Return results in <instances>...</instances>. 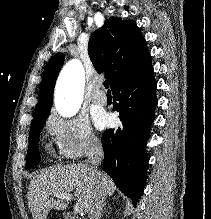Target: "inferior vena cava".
I'll return each instance as SVG.
<instances>
[{
    "label": "inferior vena cava",
    "instance_id": "602c4592",
    "mask_svg": "<svg viewBox=\"0 0 211 219\" xmlns=\"http://www.w3.org/2000/svg\"><path fill=\"white\" fill-rule=\"evenodd\" d=\"M92 173L99 175L98 166L103 160L104 153L101 143L97 139H92L86 153ZM105 195L100 187L97 188L93 201L88 211L89 219H100L104 207Z\"/></svg>",
    "mask_w": 211,
    "mask_h": 219
}]
</instances>
